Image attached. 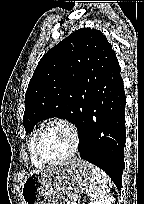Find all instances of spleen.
Segmentation results:
<instances>
[{
  "label": "spleen",
  "mask_w": 144,
  "mask_h": 204,
  "mask_svg": "<svg viewBox=\"0 0 144 204\" xmlns=\"http://www.w3.org/2000/svg\"><path fill=\"white\" fill-rule=\"evenodd\" d=\"M90 186L86 193L91 201L102 199L110 191L111 182L108 175L99 167L90 164Z\"/></svg>",
  "instance_id": "3e777b00"
}]
</instances>
